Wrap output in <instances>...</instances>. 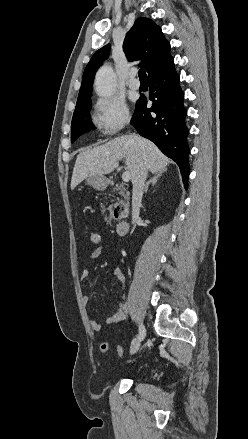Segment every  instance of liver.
Listing matches in <instances>:
<instances>
[{"label": "liver", "instance_id": "1", "mask_svg": "<svg viewBox=\"0 0 248 439\" xmlns=\"http://www.w3.org/2000/svg\"><path fill=\"white\" fill-rule=\"evenodd\" d=\"M122 158L126 159L132 180L141 163H145L152 173L166 171L170 163L156 145L147 139L136 135L116 137L104 145L79 153L73 169L71 189L90 176L111 173Z\"/></svg>", "mask_w": 248, "mask_h": 439}]
</instances>
